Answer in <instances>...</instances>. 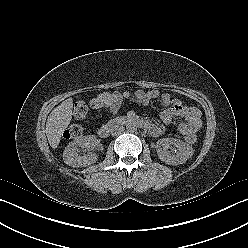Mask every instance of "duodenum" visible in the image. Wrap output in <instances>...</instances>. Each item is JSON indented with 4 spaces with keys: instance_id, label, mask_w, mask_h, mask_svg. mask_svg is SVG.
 <instances>
[{
    "instance_id": "duodenum-1",
    "label": "duodenum",
    "mask_w": 248,
    "mask_h": 248,
    "mask_svg": "<svg viewBox=\"0 0 248 248\" xmlns=\"http://www.w3.org/2000/svg\"><path fill=\"white\" fill-rule=\"evenodd\" d=\"M123 124H133L139 128H143V129H146L149 127V123L146 122L145 120L140 119V118L135 117V116H127V117L119 118V119L113 121L112 124H110V125L102 126L99 130V135L102 138H108L110 136L112 130L115 127H118L119 125H123Z\"/></svg>"
}]
</instances>
